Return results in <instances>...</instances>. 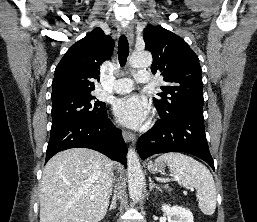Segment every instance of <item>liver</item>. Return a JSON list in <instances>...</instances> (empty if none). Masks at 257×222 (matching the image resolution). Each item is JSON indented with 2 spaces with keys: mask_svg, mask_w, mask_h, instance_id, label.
I'll return each instance as SVG.
<instances>
[{
  "mask_svg": "<svg viewBox=\"0 0 257 222\" xmlns=\"http://www.w3.org/2000/svg\"><path fill=\"white\" fill-rule=\"evenodd\" d=\"M113 163L86 148L57 153L40 183V222H99L112 192ZM91 196L95 198L90 199Z\"/></svg>",
  "mask_w": 257,
  "mask_h": 222,
  "instance_id": "6515ba94",
  "label": "liver"
}]
</instances>
